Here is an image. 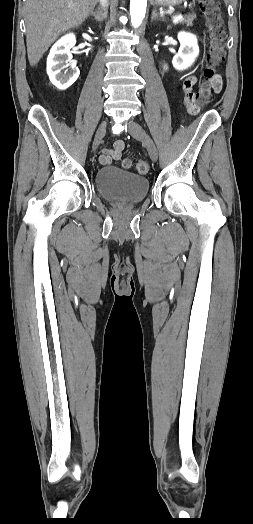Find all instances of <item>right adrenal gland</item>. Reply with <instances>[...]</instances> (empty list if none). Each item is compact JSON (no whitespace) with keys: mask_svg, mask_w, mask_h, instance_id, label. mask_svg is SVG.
<instances>
[{"mask_svg":"<svg viewBox=\"0 0 253 524\" xmlns=\"http://www.w3.org/2000/svg\"><path fill=\"white\" fill-rule=\"evenodd\" d=\"M107 14H108V10L107 9H105L104 11L96 10V11H92L90 13V15L94 16L95 20L98 21V22H102L103 20H105L106 17H107Z\"/></svg>","mask_w":253,"mask_h":524,"instance_id":"obj_1","label":"right adrenal gland"}]
</instances>
